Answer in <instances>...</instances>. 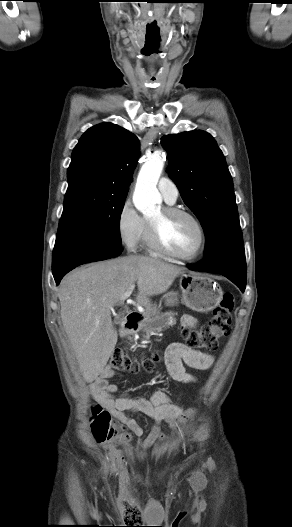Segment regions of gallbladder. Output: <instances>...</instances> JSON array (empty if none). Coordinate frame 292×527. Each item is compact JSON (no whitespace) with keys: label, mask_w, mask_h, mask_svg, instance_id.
I'll list each match as a JSON object with an SVG mask.
<instances>
[{"label":"gallbladder","mask_w":292,"mask_h":527,"mask_svg":"<svg viewBox=\"0 0 292 527\" xmlns=\"http://www.w3.org/2000/svg\"><path fill=\"white\" fill-rule=\"evenodd\" d=\"M121 320H122V318L119 317V316H117V317H115L114 322H115L116 324H119V323L121 322Z\"/></svg>","instance_id":"1"}]
</instances>
